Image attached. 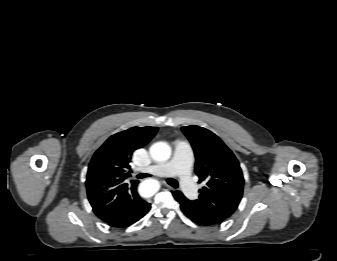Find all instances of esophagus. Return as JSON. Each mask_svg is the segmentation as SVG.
Wrapping results in <instances>:
<instances>
[{
  "instance_id": "obj_1",
  "label": "esophagus",
  "mask_w": 337,
  "mask_h": 261,
  "mask_svg": "<svg viewBox=\"0 0 337 261\" xmlns=\"http://www.w3.org/2000/svg\"><path fill=\"white\" fill-rule=\"evenodd\" d=\"M170 190H173V187L169 186L168 184H165Z\"/></svg>"
}]
</instances>
